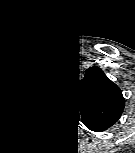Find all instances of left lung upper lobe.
Instances as JSON below:
<instances>
[{"instance_id": "5c2ea615", "label": "left lung upper lobe", "mask_w": 135, "mask_h": 153, "mask_svg": "<svg viewBox=\"0 0 135 153\" xmlns=\"http://www.w3.org/2000/svg\"><path fill=\"white\" fill-rule=\"evenodd\" d=\"M75 95L88 126L104 130L120 117L124 98L119 87L99 68L87 70L75 88Z\"/></svg>"}]
</instances>
